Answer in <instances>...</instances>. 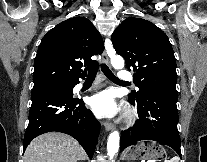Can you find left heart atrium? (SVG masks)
<instances>
[{"label": "left heart atrium", "instance_id": "left-heart-atrium-1", "mask_svg": "<svg viewBox=\"0 0 207 162\" xmlns=\"http://www.w3.org/2000/svg\"><path fill=\"white\" fill-rule=\"evenodd\" d=\"M91 109L98 117L111 118L121 112V105L112 90H105L91 97Z\"/></svg>", "mask_w": 207, "mask_h": 162}]
</instances>
